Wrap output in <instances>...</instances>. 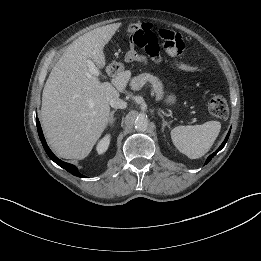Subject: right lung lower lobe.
<instances>
[{"label": "right lung lower lobe", "instance_id": "98d812e1", "mask_svg": "<svg viewBox=\"0 0 261 261\" xmlns=\"http://www.w3.org/2000/svg\"><path fill=\"white\" fill-rule=\"evenodd\" d=\"M36 125H37V129H38V133H39V137H40V140H41V142H42V145H43V147H44L46 153H47L48 156L50 157V159L53 160L56 164H58V165L61 166L62 168H64L65 170H67L68 172H70L71 174H73L74 176H77V177H85V176H83L82 174H80V173L78 172L77 168H76L74 165L61 161L60 159H58V158L51 152V150L49 149V147H48L47 144H46V141H45V138H44V136H43V132H42V129H41V126H40V123H39L38 118H36Z\"/></svg>", "mask_w": 261, "mask_h": 261}]
</instances>
